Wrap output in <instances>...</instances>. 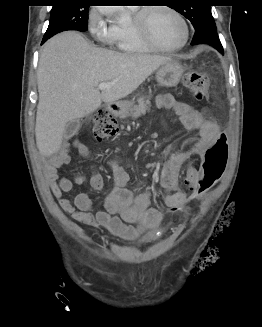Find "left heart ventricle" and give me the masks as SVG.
I'll use <instances>...</instances> for the list:
<instances>
[{
    "label": "left heart ventricle",
    "instance_id": "1",
    "mask_svg": "<svg viewBox=\"0 0 262 327\" xmlns=\"http://www.w3.org/2000/svg\"><path fill=\"white\" fill-rule=\"evenodd\" d=\"M148 26L153 38L162 46L174 47L184 39V27L171 12L164 9L151 11Z\"/></svg>",
    "mask_w": 262,
    "mask_h": 327
}]
</instances>
